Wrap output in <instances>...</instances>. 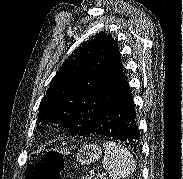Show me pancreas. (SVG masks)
<instances>
[{"label": "pancreas", "instance_id": "obj_1", "mask_svg": "<svg viewBox=\"0 0 183 179\" xmlns=\"http://www.w3.org/2000/svg\"><path fill=\"white\" fill-rule=\"evenodd\" d=\"M83 179H107V178L105 176L94 177L92 175H87V176L83 177Z\"/></svg>", "mask_w": 183, "mask_h": 179}]
</instances>
